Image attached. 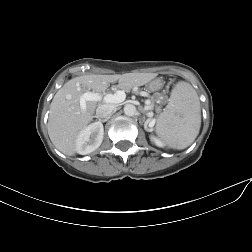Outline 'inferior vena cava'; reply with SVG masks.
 Returning a JSON list of instances; mask_svg holds the SVG:
<instances>
[{"instance_id":"602c4592","label":"inferior vena cava","mask_w":252,"mask_h":252,"mask_svg":"<svg viewBox=\"0 0 252 252\" xmlns=\"http://www.w3.org/2000/svg\"><path fill=\"white\" fill-rule=\"evenodd\" d=\"M115 110V105L113 104H102L96 109V115L100 119L109 118Z\"/></svg>"}]
</instances>
